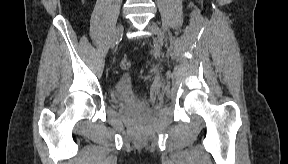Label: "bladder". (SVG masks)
I'll return each instance as SVG.
<instances>
[{"mask_svg":"<svg viewBox=\"0 0 288 164\" xmlns=\"http://www.w3.org/2000/svg\"><path fill=\"white\" fill-rule=\"evenodd\" d=\"M112 96L116 103L135 104L139 102L131 78L127 74L118 78Z\"/></svg>","mask_w":288,"mask_h":164,"instance_id":"1","label":"bladder"}]
</instances>
